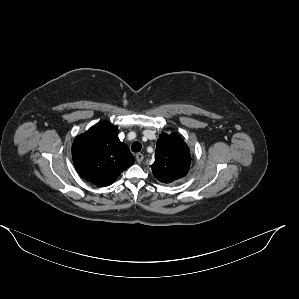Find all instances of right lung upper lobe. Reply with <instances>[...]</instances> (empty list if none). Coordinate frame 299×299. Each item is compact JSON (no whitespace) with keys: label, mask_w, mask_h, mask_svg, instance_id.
Returning a JSON list of instances; mask_svg holds the SVG:
<instances>
[{"label":"right lung upper lobe","mask_w":299,"mask_h":299,"mask_svg":"<svg viewBox=\"0 0 299 299\" xmlns=\"http://www.w3.org/2000/svg\"><path fill=\"white\" fill-rule=\"evenodd\" d=\"M72 158L79 175L100 187L111 185L135 161L119 140L117 127L109 123L96 124L77 136Z\"/></svg>","instance_id":"obj_1"}]
</instances>
